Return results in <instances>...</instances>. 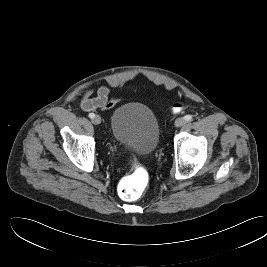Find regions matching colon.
Instances as JSON below:
<instances>
[{"label": "colon", "mask_w": 267, "mask_h": 267, "mask_svg": "<svg viewBox=\"0 0 267 267\" xmlns=\"http://www.w3.org/2000/svg\"><path fill=\"white\" fill-rule=\"evenodd\" d=\"M183 108L182 103H175L173 110L179 112ZM148 174L142 167H136L133 172L125 176L119 185V194L124 200L133 201L140 198L147 186Z\"/></svg>", "instance_id": "obj_1"}]
</instances>
